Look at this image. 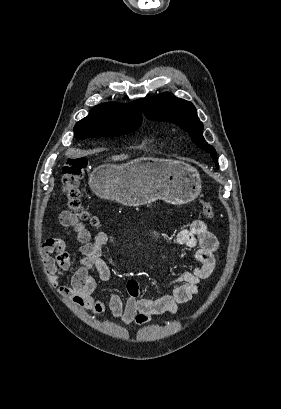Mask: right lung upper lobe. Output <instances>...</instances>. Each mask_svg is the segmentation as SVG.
I'll return each mask as SVG.
<instances>
[{"label": "right lung upper lobe", "instance_id": "right-lung-upper-lobe-1", "mask_svg": "<svg viewBox=\"0 0 281 409\" xmlns=\"http://www.w3.org/2000/svg\"><path fill=\"white\" fill-rule=\"evenodd\" d=\"M142 113L139 101L129 104L104 103L95 106L89 115L76 123L80 127H129L141 125Z\"/></svg>", "mask_w": 281, "mask_h": 409}]
</instances>
